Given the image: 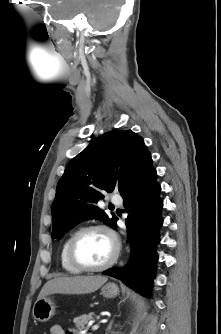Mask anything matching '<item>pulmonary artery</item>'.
I'll list each match as a JSON object with an SVG mask.
<instances>
[{
	"label": "pulmonary artery",
	"instance_id": "pulmonary-artery-1",
	"mask_svg": "<svg viewBox=\"0 0 221 334\" xmlns=\"http://www.w3.org/2000/svg\"><path fill=\"white\" fill-rule=\"evenodd\" d=\"M111 201H112L114 204H117V205L121 204V202H122L121 198H119V197H112V198H111Z\"/></svg>",
	"mask_w": 221,
	"mask_h": 334
}]
</instances>
